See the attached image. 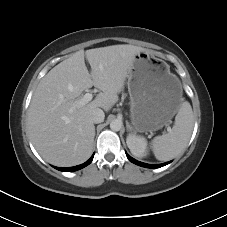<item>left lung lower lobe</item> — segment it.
<instances>
[{"instance_id": "obj_1", "label": "left lung lower lobe", "mask_w": 227, "mask_h": 227, "mask_svg": "<svg viewBox=\"0 0 227 227\" xmlns=\"http://www.w3.org/2000/svg\"><path fill=\"white\" fill-rule=\"evenodd\" d=\"M127 155V158L134 164L136 165H139V166H142V167H146V168H159V167H162V166H165L167 164H169L170 162H167V163H163V164H146V163H142L140 161H137L135 159H133L132 157H130L128 154Z\"/></svg>"}]
</instances>
